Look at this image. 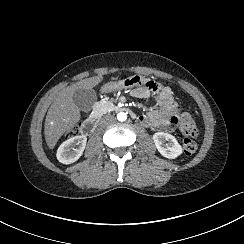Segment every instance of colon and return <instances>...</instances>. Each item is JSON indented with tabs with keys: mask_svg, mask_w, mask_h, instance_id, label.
<instances>
[{
	"mask_svg": "<svg viewBox=\"0 0 244 244\" xmlns=\"http://www.w3.org/2000/svg\"><path fill=\"white\" fill-rule=\"evenodd\" d=\"M178 124V130L183 136L182 147L186 154L192 155L198 151V144L195 138L199 129L194 118L189 113H182L174 117Z\"/></svg>",
	"mask_w": 244,
	"mask_h": 244,
	"instance_id": "5ec220e1",
	"label": "colon"
}]
</instances>
